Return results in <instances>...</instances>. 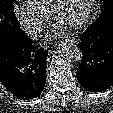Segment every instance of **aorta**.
Wrapping results in <instances>:
<instances>
[{
	"label": "aorta",
	"mask_w": 113,
	"mask_h": 113,
	"mask_svg": "<svg viewBox=\"0 0 113 113\" xmlns=\"http://www.w3.org/2000/svg\"><path fill=\"white\" fill-rule=\"evenodd\" d=\"M61 56L70 62H79L82 59V51L73 41L66 40L58 47Z\"/></svg>",
	"instance_id": "obj_1"
}]
</instances>
